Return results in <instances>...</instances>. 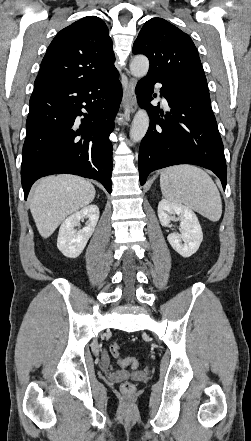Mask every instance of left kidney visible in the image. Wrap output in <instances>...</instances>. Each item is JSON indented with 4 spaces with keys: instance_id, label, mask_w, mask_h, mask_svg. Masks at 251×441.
Wrapping results in <instances>:
<instances>
[{
    "instance_id": "1",
    "label": "left kidney",
    "mask_w": 251,
    "mask_h": 441,
    "mask_svg": "<svg viewBox=\"0 0 251 441\" xmlns=\"http://www.w3.org/2000/svg\"><path fill=\"white\" fill-rule=\"evenodd\" d=\"M158 217L162 226H169L175 215L180 220L181 234L173 232L167 240L182 257H190L199 249L203 233L196 214L187 206L161 200L158 204Z\"/></svg>"
}]
</instances>
